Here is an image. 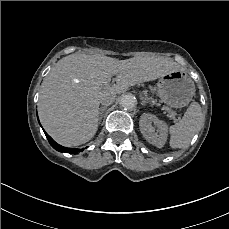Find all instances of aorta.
<instances>
[{
    "label": "aorta",
    "mask_w": 229,
    "mask_h": 229,
    "mask_svg": "<svg viewBox=\"0 0 229 229\" xmlns=\"http://www.w3.org/2000/svg\"><path fill=\"white\" fill-rule=\"evenodd\" d=\"M119 103L121 107L124 108L125 110H130L136 107L137 100L134 96L127 94L121 96Z\"/></svg>",
    "instance_id": "aorta-1"
}]
</instances>
